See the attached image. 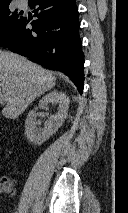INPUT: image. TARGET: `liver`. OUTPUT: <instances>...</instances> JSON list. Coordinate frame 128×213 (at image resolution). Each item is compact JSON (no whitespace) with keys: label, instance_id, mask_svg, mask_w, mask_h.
Segmentation results:
<instances>
[{"label":"liver","instance_id":"6515ba94","mask_svg":"<svg viewBox=\"0 0 128 213\" xmlns=\"http://www.w3.org/2000/svg\"><path fill=\"white\" fill-rule=\"evenodd\" d=\"M51 71L25 57L0 50V98L7 103L4 117L16 119L27 106L55 86Z\"/></svg>","mask_w":128,"mask_h":213}]
</instances>
